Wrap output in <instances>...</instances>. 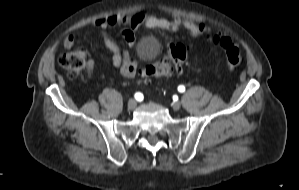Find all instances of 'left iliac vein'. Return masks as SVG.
Masks as SVG:
<instances>
[{"mask_svg":"<svg viewBox=\"0 0 299 190\" xmlns=\"http://www.w3.org/2000/svg\"><path fill=\"white\" fill-rule=\"evenodd\" d=\"M172 108L174 110H179L181 108V104L179 102H173L172 103Z\"/></svg>","mask_w":299,"mask_h":190,"instance_id":"obj_1","label":"left iliac vein"}]
</instances>
